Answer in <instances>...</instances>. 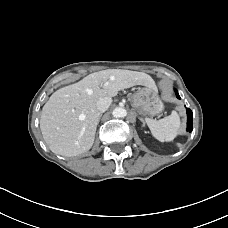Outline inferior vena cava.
<instances>
[{
    "mask_svg": "<svg viewBox=\"0 0 228 228\" xmlns=\"http://www.w3.org/2000/svg\"><path fill=\"white\" fill-rule=\"evenodd\" d=\"M111 102H112V99L110 97L101 98L96 104L97 110L99 112L106 111L111 105Z\"/></svg>",
    "mask_w": 228,
    "mask_h": 228,
    "instance_id": "obj_1",
    "label": "inferior vena cava"
}]
</instances>
